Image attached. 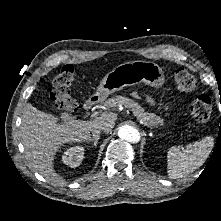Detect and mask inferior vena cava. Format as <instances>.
Here are the masks:
<instances>
[{
  "instance_id": "602c4592",
  "label": "inferior vena cava",
  "mask_w": 221,
  "mask_h": 221,
  "mask_svg": "<svg viewBox=\"0 0 221 221\" xmlns=\"http://www.w3.org/2000/svg\"><path fill=\"white\" fill-rule=\"evenodd\" d=\"M101 131H105V127L103 125H98L92 129L93 136L98 135Z\"/></svg>"
}]
</instances>
